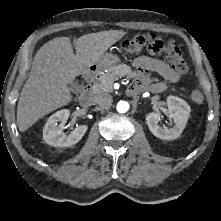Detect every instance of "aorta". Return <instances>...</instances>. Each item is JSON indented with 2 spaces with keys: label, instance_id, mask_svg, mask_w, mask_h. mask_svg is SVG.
<instances>
[{
  "label": "aorta",
  "instance_id": "aorta-1",
  "mask_svg": "<svg viewBox=\"0 0 221 221\" xmlns=\"http://www.w3.org/2000/svg\"><path fill=\"white\" fill-rule=\"evenodd\" d=\"M129 103L128 102H126V101H119L118 103H117V107H116V109H117V111L119 112V113H126L128 110H129Z\"/></svg>",
  "mask_w": 221,
  "mask_h": 221
}]
</instances>
